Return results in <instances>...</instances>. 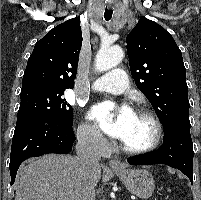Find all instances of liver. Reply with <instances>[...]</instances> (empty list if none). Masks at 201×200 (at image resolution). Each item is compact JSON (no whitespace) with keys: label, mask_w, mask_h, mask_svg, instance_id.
<instances>
[{"label":"liver","mask_w":201,"mask_h":200,"mask_svg":"<svg viewBox=\"0 0 201 200\" xmlns=\"http://www.w3.org/2000/svg\"><path fill=\"white\" fill-rule=\"evenodd\" d=\"M100 178L99 166L94 183ZM15 200H78L75 157L48 154L27 160L18 171Z\"/></svg>","instance_id":"1"}]
</instances>
